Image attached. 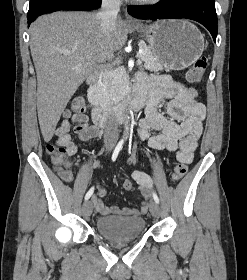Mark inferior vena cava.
I'll return each instance as SVG.
<instances>
[{"mask_svg": "<svg viewBox=\"0 0 247 280\" xmlns=\"http://www.w3.org/2000/svg\"><path fill=\"white\" fill-rule=\"evenodd\" d=\"M121 0H102L101 10L97 16L101 20V29L104 34L110 33L116 23L118 12L120 11ZM113 54H109V59ZM117 124L111 120L106 128L105 143H115L118 140Z\"/></svg>", "mask_w": 247, "mask_h": 280, "instance_id": "obj_1", "label": "inferior vena cava"}]
</instances>
